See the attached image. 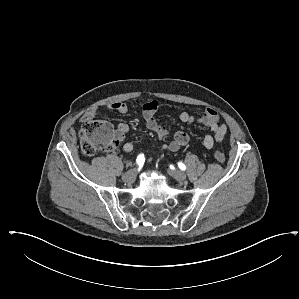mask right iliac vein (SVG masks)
Here are the masks:
<instances>
[{
  "mask_svg": "<svg viewBox=\"0 0 299 299\" xmlns=\"http://www.w3.org/2000/svg\"><path fill=\"white\" fill-rule=\"evenodd\" d=\"M136 173V169L129 170L122 176L123 181L127 183H132L136 178Z\"/></svg>",
  "mask_w": 299,
  "mask_h": 299,
  "instance_id": "1",
  "label": "right iliac vein"
}]
</instances>
